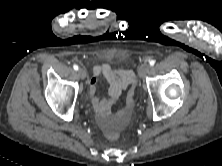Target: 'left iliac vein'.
<instances>
[{
    "label": "left iliac vein",
    "instance_id": "obj_1",
    "mask_svg": "<svg viewBox=\"0 0 222 166\" xmlns=\"http://www.w3.org/2000/svg\"><path fill=\"white\" fill-rule=\"evenodd\" d=\"M150 69L151 67L149 64L147 63L142 64L139 68V76L141 78H144L149 73Z\"/></svg>",
    "mask_w": 222,
    "mask_h": 166
}]
</instances>
